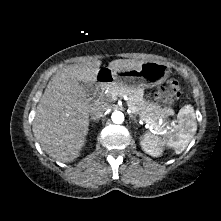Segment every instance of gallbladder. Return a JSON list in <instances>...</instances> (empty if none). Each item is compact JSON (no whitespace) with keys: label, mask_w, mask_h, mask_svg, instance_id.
<instances>
[{"label":"gallbladder","mask_w":221,"mask_h":221,"mask_svg":"<svg viewBox=\"0 0 221 221\" xmlns=\"http://www.w3.org/2000/svg\"><path fill=\"white\" fill-rule=\"evenodd\" d=\"M86 94L89 96V95H92L93 92H94V87L93 86H90V85H87V84H82Z\"/></svg>","instance_id":"bac80fb5"}]
</instances>
